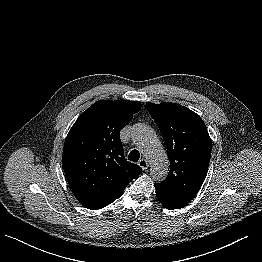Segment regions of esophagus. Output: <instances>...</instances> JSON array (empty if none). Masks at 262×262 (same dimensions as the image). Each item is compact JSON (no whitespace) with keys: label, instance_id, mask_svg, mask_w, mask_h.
Masks as SVG:
<instances>
[{"label":"esophagus","instance_id":"obj_1","mask_svg":"<svg viewBox=\"0 0 262 262\" xmlns=\"http://www.w3.org/2000/svg\"><path fill=\"white\" fill-rule=\"evenodd\" d=\"M138 165H139L143 170H146V169H148V167H149L148 161H147L146 159H141V160L138 162Z\"/></svg>","mask_w":262,"mask_h":262}]
</instances>
